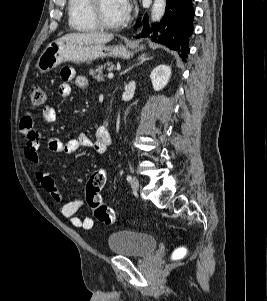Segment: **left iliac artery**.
Wrapping results in <instances>:
<instances>
[{
    "label": "left iliac artery",
    "instance_id": "44dca946",
    "mask_svg": "<svg viewBox=\"0 0 267 301\" xmlns=\"http://www.w3.org/2000/svg\"><path fill=\"white\" fill-rule=\"evenodd\" d=\"M126 179H127V181H129V182H130V181H131V179H132V177H131L130 175H128Z\"/></svg>",
    "mask_w": 267,
    "mask_h": 301
}]
</instances>
